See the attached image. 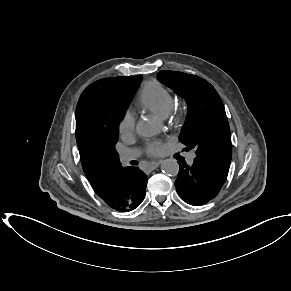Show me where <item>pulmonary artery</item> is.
<instances>
[{
    "label": "pulmonary artery",
    "instance_id": "pulmonary-artery-1",
    "mask_svg": "<svg viewBox=\"0 0 291 291\" xmlns=\"http://www.w3.org/2000/svg\"><path fill=\"white\" fill-rule=\"evenodd\" d=\"M136 156H137V152L134 150H131V151H127V152L121 154L120 160L122 163L126 164L129 161L136 158ZM194 158H195V155L193 153H191L187 159L188 164H192L194 161Z\"/></svg>",
    "mask_w": 291,
    "mask_h": 291
}]
</instances>
